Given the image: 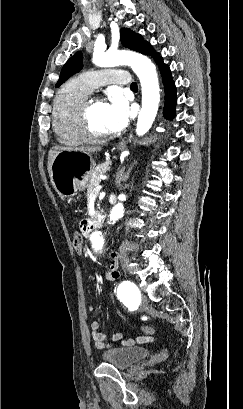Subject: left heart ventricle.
<instances>
[{
	"label": "left heart ventricle",
	"instance_id": "obj_1",
	"mask_svg": "<svg viewBox=\"0 0 243 409\" xmlns=\"http://www.w3.org/2000/svg\"><path fill=\"white\" fill-rule=\"evenodd\" d=\"M106 103L102 100H94L89 106V122L93 132L97 134H107L105 125Z\"/></svg>",
	"mask_w": 243,
	"mask_h": 409
}]
</instances>
